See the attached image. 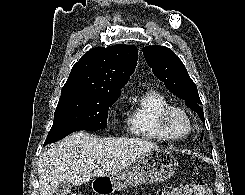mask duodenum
Masks as SVG:
<instances>
[{
  "label": "duodenum",
  "instance_id": "1",
  "mask_svg": "<svg viewBox=\"0 0 245 195\" xmlns=\"http://www.w3.org/2000/svg\"><path fill=\"white\" fill-rule=\"evenodd\" d=\"M95 190L98 195H108L111 192L112 188L109 181H105L104 183L96 184Z\"/></svg>",
  "mask_w": 245,
  "mask_h": 195
}]
</instances>
